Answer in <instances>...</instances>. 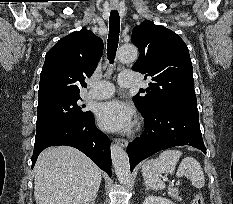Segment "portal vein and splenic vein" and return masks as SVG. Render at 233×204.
<instances>
[{
	"instance_id": "18ae733b",
	"label": "portal vein and splenic vein",
	"mask_w": 233,
	"mask_h": 204,
	"mask_svg": "<svg viewBox=\"0 0 233 204\" xmlns=\"http://www.w3.org/2000/svg\"><path fill=\"white\" fill-rule=\"evenodd\" d=\"M164 181H168V178L167 177H164L163 178ZM171 185H174L173 183Z\"/></svg>"
}]
</instances>
